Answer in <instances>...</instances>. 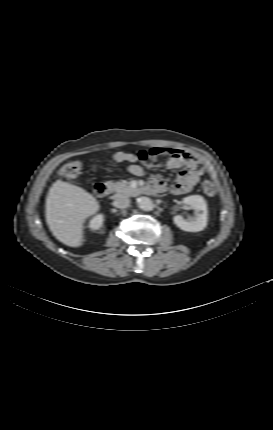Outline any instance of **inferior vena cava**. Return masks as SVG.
Listing matches in <instances>:
<instances>
[{
  "instance_id": "1",
  "label": "inferior vena cava",
  "mask_w": 273,
  "mask_h": 430,
  "mask_svg": "<svg viewBox=\"0 0 273 430\" xmlns=\"http://www.w3.org/2000/svg\"><path fill=\"white\" fill-rule=\"evenodd\" d=\"M114 205L118 208H127L130 205V200L128 198H121L115 201Z\"/></svg>"
}]
</instances>
